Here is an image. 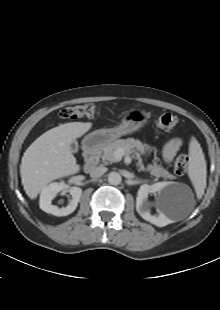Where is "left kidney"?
Returning <instances> with one entry per match:
<instances>
[{
    "mask_svg": "<svg viewBox=\"0 0 220 310\" xmlns=\"http://www.w3.org/2000/svg\"><path fill=\"white\" fill-rule=\"evenodd\" d=\"M172 188L173 186L170 182H158L153 185L144 184L140 186L136 198V208L144 220L158 227H163L170 223V219L165 214V209L169 205L168 193ZM149 193H158L155 203L158 216L150 214L149 205L147 203Z\"/></svg>",
    "mask_w": 220,
    "mask_h": 310,
    "instance_id": "1",
    "label": "left kidney"
}]
</instances>
